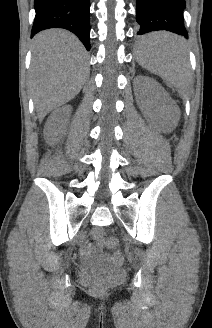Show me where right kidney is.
<instances>
[{
    "label": "right kidney",
    "instance_id": "obj_1",
    "mask_svg": "<svg viewBox=\"0 0 212 328\" xmlns=\"http://www.w3.org/2000/svg\"><path fill=\"white\" fill-rule=\"evenodd\" d=\"M71 114V106L66 105L56 109L48 118L44 127L45 134H53L60 131L62 125L66 123Z\"/></svg>",
    "mask_w": 212,
    "mask_h": 328
}]
</instances>
